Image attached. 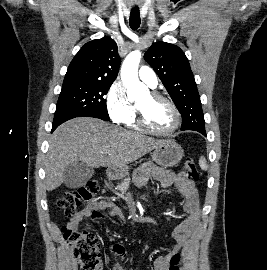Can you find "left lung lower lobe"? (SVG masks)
Instances as JSON below:
<instances>
[{
    "mask_svg": "<svg viewBox=\"0 0 267 270\" xmlns=\"http://www.w3.org/2000/svg\"><path fill=\"white\" fill-rule=\"evenodd\" d=\"M200 133L206 136V131H200Z\"/></svg>",
    "mask_w": 267,
    "mask_h": 270,
    "instance_id": "obj_1",
    "label": "left lung lower lobe"
}]
</instances>
